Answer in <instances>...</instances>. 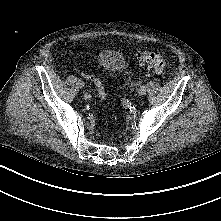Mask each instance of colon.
Returning <instances> with one entry per match:
<instances>
[{
	"label": "colon",
	"mask_w": 221,
	"mask_h": 221,
	"mask_svg": "<svg viewBox=\"0 0 221 221\" xmlns=\"http://www.w3.org/2000/svg\"><path fill=\"white\" fill-rule=\"evenodd\" d=\"M139 57L140 62L143 65H146L156 75L157 78L163 77L166 69V61L162 53L145 50L140 53ZM87 79L96 89L100 100L104 101L105 93L100 80L93 74H87Z\"/></svg>",
	"instance_id": "obj_1"
}]
</instances>
